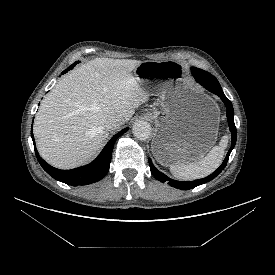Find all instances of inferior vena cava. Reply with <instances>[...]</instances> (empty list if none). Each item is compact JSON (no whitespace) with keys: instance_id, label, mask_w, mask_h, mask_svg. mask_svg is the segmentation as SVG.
I'll list each match as a JSON object with an SVG mask.
<instances>
[{"instance_id":"602c4592","label":"inferior vena cava","mask_w":275,"mask_h":275,"mask_svg":"<svg viewBox=\"0 0 275 275\" xmlns=\"http://www.w3.org/2000/svg\"><path fill=\"white\" fill-rule=\"evenodd\" d=\"M124 119L118 115L111 116L106 122V128L108 130H115L123 125Z\"/></svg>"}]
</instances>
